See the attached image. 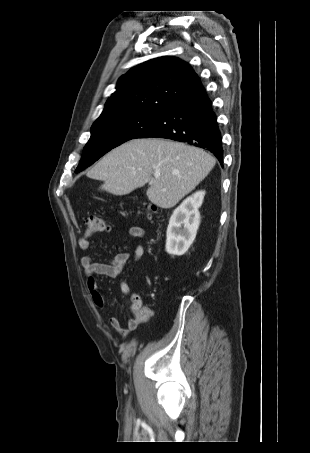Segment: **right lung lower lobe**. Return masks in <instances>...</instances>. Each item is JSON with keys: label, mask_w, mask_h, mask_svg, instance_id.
I'll list each match as a JSON object with an SVG mask.
<instances>
[{"label": "right lung lower lobe", "mask_w": 310, "mask_h": 453, "mask_svg": "<svg viewBox=\"0 0 310 453\" xmlns=\"http://www.w3.org/2000/svg\"><path fill=\"white\" fill-rule=\"evenodd\" d=\"M167 138L204 148L223 164L222 136L202 84L167 107L137 138Z\"/></svg>", "instance_id": "1"}]
</instances>
